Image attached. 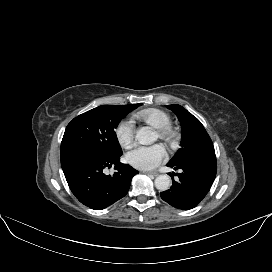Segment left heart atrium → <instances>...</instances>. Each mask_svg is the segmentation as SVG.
I'll return each mask as SVG.
<instances>
[{
  "mask_svg": "<svg viewBox=\"0 0 272 272\" xmlns=\"http://www.w3.org/2000/svg\"><path fill=\"white\" fill-rule=\"evenodd\" d=\"M166 158L164 148L159 145L136 146L131 149L126 159L130 165L140 170H151Z\"/></svg>",
  "mask_w": 272,
  "mask_h": 272,
  "instance_id": "obj_1",
  "label": "left heart atrium"
}]
</instances>
